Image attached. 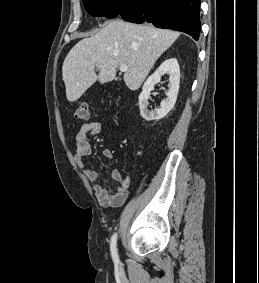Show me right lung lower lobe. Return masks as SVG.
<instances>
[{
  "label": "right lung lower lobe",
  "mask_w": 259,
  "mask_h": 283,
  "mask_svg": "<svg viewBox=\"0 0 259 283\" xmlns=\"http://www.w3.org/2000/svg\"><path fill=\"white\" fill-rule=\"evenodd\" d=\"M200 0H118L114 16L129 22H149L159 28L182 31L198 40Z\"/></svg>",
  "instance_id": "obj_1"
}]
</instances>
